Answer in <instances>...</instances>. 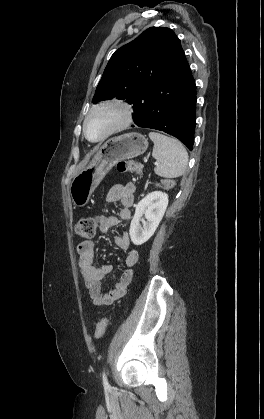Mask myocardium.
Segmentation results:
<instances>
[{
	"label": "myocardium",
	"mask_w": 264,
	"mask_h": 419,
	"mask_svg": "<svg viewBox=\"0 0 264 419\" xmlns=\"http://www.w3.org/2000/svg\"><path fill=\"white\" fill-rule=\"evenodd\" d=\"M115 109L120 113V120L115 123L103 136L98 139H90L87 134V124L91 116L97 111ZM133 121V109L130 103L121 98H110L103 100L89 110L83 121V134L85 138L91 143L103 142L110 136L126 129Z\"/></svg>",
	"instance_id": "f54148a6"
}]
</instances>
